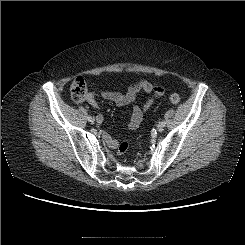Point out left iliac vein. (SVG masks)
<instances>
[{"instance_id":"4c4485c4","label":"left iliac vein","mask_w":245,"mask_h":245,"mask_svg":"<svg viewBox=\"0 0 245 245\" xmlns=\"http://www.w3.org/2000/svg\"><path fill=\"white\" fill-rule=\"evenodd\" d=\"M163 130H164V126L161 123H159L157 126V131L162 132Z\"/></svg>"}]
</instances>
